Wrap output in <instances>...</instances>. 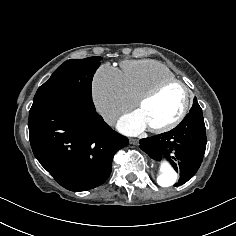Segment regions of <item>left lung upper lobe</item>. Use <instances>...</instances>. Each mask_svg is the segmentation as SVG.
I'll use <instances>...</instances> for the list:
<instances>
[{
  "mask_svg": "<svg viewBox=\"0 0 236 236\" xmlns=\"http://www.w3.org/2000/svg\"><path fill=\"white\" fill-rule=\"evenodd\" d=\"M193 112H202V109H201V107L199 106V104H198L196 98H194L193 106H192V108L190 109V112H189V113H193Z\"/></svg>",
  "mask_w": 236,
  "mask_h": 236,
  "instance_id": "1",
  "label": "left lung upper lobe"
}]
</instances>
